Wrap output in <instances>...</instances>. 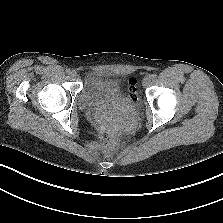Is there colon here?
<instances>
[{
  "label": "colon",
  "instance_id": "obj_1",
  "mask_svg": "<svg viewBox=\"0 0 223 223\" xmlns=\"http://www.w3.org/2000/svg\"><path fill=\"white\" fill-rule=\"evenodd\" d=\"M129 97L132 99L138 98V89L136 88V81L132 80L130 82L129 86ZM113 135L114 130L112 126L106 124L103 126V137H102V149L106 153H110L114 149V143H113Z\"/></svg>",
  "mask_w": 223,
  "mask_h": 223
}]
</instances>
